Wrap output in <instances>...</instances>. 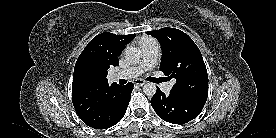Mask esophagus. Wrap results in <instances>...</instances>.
I'll return each mask as SVG.
<instances>
[{"mask_svg": "<svg viewBox=\"0 0 276 138\" xmlns=\"http://www.w3.org/2000/svg\"><path fill=\"white\" fill-rule=\"evenodd\" d=\"M145 83H146V81L142 80V79H137L134 81V84L138 85V86H143V85H145Z\"/></svg>", "mask_w": 276, "mask_h": 138, "instance_id": "1", "label": "esophagus"}]
</instances>
